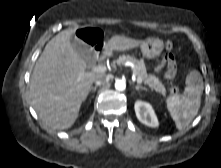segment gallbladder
<instances>
[{"mask_svg": "<svg viewBox=\"0 0 221 168\" xmlns=\"http://www.w3.org/2000/svg\"><path fill=\"white\" fill-rule=\"evenodd\" d=\"M71 45L75 52L87 63L92 64L95 61L93 49L79 38L72 37Z\"/></svg>", "mask_w": 221, "mask_h": 168, "instance_id": "1", "label": "gallbladder"}]
</instances>
